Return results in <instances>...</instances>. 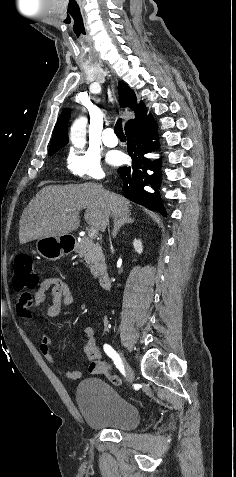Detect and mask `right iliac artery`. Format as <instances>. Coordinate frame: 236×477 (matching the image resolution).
<instances>
[{
  "mask_svg": "<svg viewBox=\"0 0 236 477\" xmlns=\"http://www.w3.org/2000/svg\"><path fill=\"white\" fill-rule=\"evenodd\" d=\"M103 349L105 353L113 360L114 364L116 365V368H123L120 356L110 345L104 344Z\"/></svg>",
  "mask_w": 236,
  "mask_h": 477,
  "instance_id": "obj_1",
  "label": "right iliac artery"
}]
</instances>
